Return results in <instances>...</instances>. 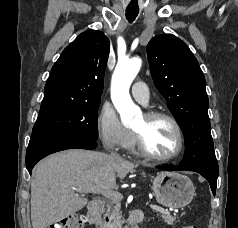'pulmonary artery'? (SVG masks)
<instances>
[{"label":"pulmonary artery","mask_w":238,"mask_h":228,"mask_svg":"<svg viewBox=\"0 0 238 228\" xmlns=\"http://www.w3.org/2000/svg\"><path fill=\"white\" fill-rule=\"evenodd\" d=\"M132 96L140 103L146 104L149 100V91L145 83L135 82L131 88Z\"/></svg>","instance_id":"1"}]
</instances>
